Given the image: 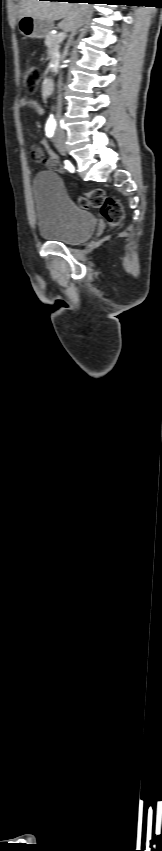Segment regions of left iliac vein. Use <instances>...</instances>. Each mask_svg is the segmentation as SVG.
Wrapping results in <instances>:
<instances>
[{"mask_svg":"<svg viewBox=\"0 0 162 851\" xmlns=\"http://www.w3.org/2000/svg\"><path fill=\"white\" fill-rule=\"evenodd\" d=\"M57 148L61 155H65V149L61 144H57Z\"/></svg>","mask_w":162,"mask_h":851,"instance_id":"4c4485c4","label":"left iliac vein"}]
</instances>
